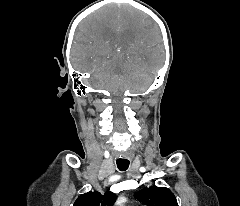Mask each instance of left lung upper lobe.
<instances>
[{"mask_svg": "<svg viewBox=\"0 0 240 206\" xmlns=\"http://www.w3.org/2000/svg\"><path fill=\"white\" fill-rule=\"evenodd\" d=\"M135 198L147 206H178L174 194L165 187L145 188L136 193Z\"/></svg>", "mask_w": 240, "mask_h": 206, "instance_id": "5c2ea615", "label": "left lung upper lobe"}]
</instances>
